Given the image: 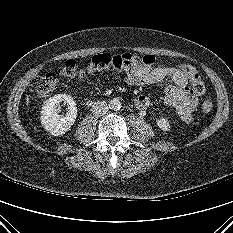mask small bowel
<instances>
[{"instance_id":"1","label":"small bowel","mask_w":233,"mask_h":233,"mask_svg":"<svg viewBox=\"0 0 233 233\" xmlns=\"http://www.w3.org/2000/svg\"><path fill=\"white\" fill-rule=\"evenodd\" d=\"M111 67L117 78L130 86L162 84L169 79L171 83L165 87V104L175 110L182 121H192L200 95L189 86V79L180 68L145 66L139 61H117ZM134 103L138 109H146L150 106V99L139 95Z\"/></svg>"}]
</instances>
